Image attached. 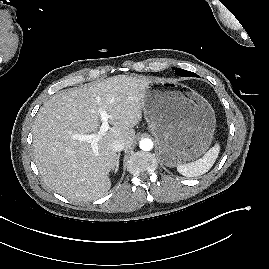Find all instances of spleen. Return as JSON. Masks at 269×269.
Masks as SVG:
<instances>
[{
    "mask_svg": "<svg viewBox=\"0 0 269 269\" xmlns=\"http://www.w3.org/2000/svg\"><path fill=\"white\" fill-rule=\"evenodd\" d=\"M220 151L219 144H215L204 156L194 162L177 165V171L187 177H196L208 172L215 163Z\"/></svg>",
    "mask_w": 269,
    "mask_h": 269,
    "instance_id": "spleen-1",
    "label": "spleen"
}]
</instances>
